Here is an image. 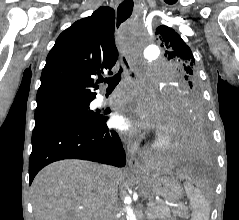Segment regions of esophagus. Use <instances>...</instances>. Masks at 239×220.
Masks as SVG:
<instances>
[{"mask_svg":"<svg viewBox=\"0 0 239 220\" xmlns=\"http://www.w3.org/2000/svg\"><path fill=\"white\" fill-rule=\"evenodd\" d=\"M121 1H123V3H121L117 9V25L115 26L116 28H118L122 22H124L127 18H129L130 15L135 14L137 11L135 0H121ZM127 161L128 165L132 169H140V164L136 156L129 150L127 152Z\"/></svg>","mask_w":239,"mask_h":220,"instance_id":"esophagus-1","label":"esophagus"}]
</instances>
